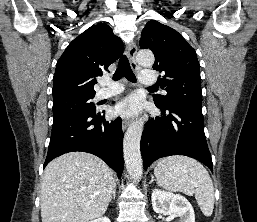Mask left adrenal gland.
<instances>
[{"instance_id":"1","label":"left adrenal gland","mask_w":257,"mask_h":222,"mask_svg":"<svg viewBox=\"0 0 257 222\" xmlns=\"http://www.w3.org/2000/svg\"><path fill=\"white\" fill-rule=\"evenodd\" d=\"M154 181H155L154 176H153V175H151V181H150V184H151L152 182H154Z\"/></svg>"}]
</instances>
